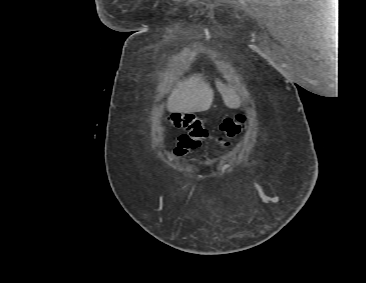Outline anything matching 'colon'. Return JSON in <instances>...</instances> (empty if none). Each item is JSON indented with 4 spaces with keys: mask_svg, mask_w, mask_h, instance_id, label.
<instances>
[{
    "mask_svg": "<svg viewBox=\"0 0 366 283\" xmlns=\"http://www.w3.org/2000/svg\"><path fill=\"white\" fill-rule=\"evenodd\" d=\"M168 125L181 128L184 133L178 138L174 152L179 157H184L188 153L198 148L203 140L208 136V130L204 119L192 113H173L167 117ZM245 126V117L238 114L235 117L226 118L220 130L219 137L221 144H228V140L236 136Z\"/></svg>",
    "mask_w": 366,
    "mask_h": 283,
    "instance_id": "obj_1",
    "label": "colon"
}]
</instances>
